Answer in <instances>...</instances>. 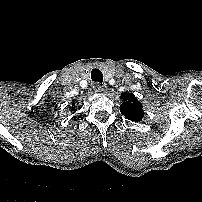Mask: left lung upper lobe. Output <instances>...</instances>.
I'll use <instances>...</instances> for the list:
<instances>
[{
	"label": "left lung upper lobe",
	"instance_id": "5c2ea615",
	"mask_svg": "<svg viewBox=\"0 0 202 202\" xmlns=\"http://www.w3.org/2000/svg\"><path fill=\"white\" fill-rule=\"evenodd\" d=\"M123 103L120 106L121 113L131 121H140L144 116L142 104L137 100L134 94L124 92L121 94Z\"/></svg>",
	"mask_w": 202,
	"mask_h": 202
}]
</instances>
